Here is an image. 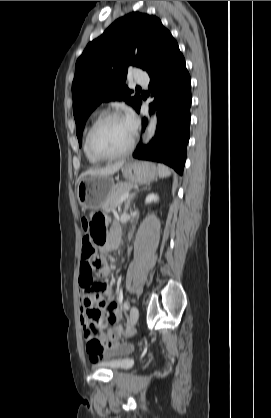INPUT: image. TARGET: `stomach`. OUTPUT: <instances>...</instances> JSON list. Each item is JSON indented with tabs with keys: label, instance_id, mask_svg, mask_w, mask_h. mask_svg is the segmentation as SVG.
Wrapping results in <instances>:
<instances>
[{
	"label": "stomach",
	"instance_id": "1",
	"mask_svg": "<svg viewBox=\"0 0 271 418\" xmlns=\"http://www.w3.org/2000/svg\"><path fill=\"white\" fill-rule=\"evenodd\" d=\"M124 178L132 184H146L157 178L158 170L150 162H127L122 167ZM113 180L107 176L90 175L82 178L77 187V199L83 210H97L110 194Z\"/></svg>",
	"mask_w": 271,
	"mask_h": 418
}]
</instances>
